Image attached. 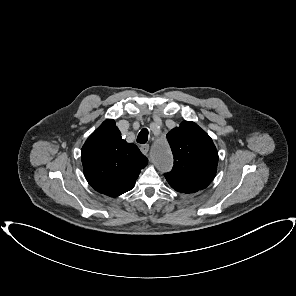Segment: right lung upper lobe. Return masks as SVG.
Returning <instances> with one entry per match:
<instances>
[{
	"label": "right lung upper lobe",
	"mask_w": 296,
	"mask_h": 296,
	"mask_svg": "<svg viewBox=\"0 0 296 296\" xmlns=\"http://www.w3.org/2000/svg\"><path fill=\"white\" fill-rule=\"evenodd\" d=\"M84 175L96 191L110 197L131 190L147 158L133 143H127L115 121H104L81 150Z\"/></svg>",
	"instance_id": "1"
}]
</instances>
